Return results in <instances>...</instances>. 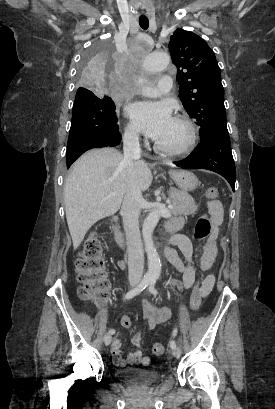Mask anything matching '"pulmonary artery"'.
Listing matches in <instances>:
<instances>
[{"instance_id":"obj_1","label":"pulmonary artery","mask_w":275,"mask_h":409,"mask_svg":"<svg viewBox=\"0 0 275 409\" xmlns=\"http://www.w3.org/2000/svg\"><path fill=\"white\" fill-rule=\"evenodd\" d=\"M158 86L161 88L162 94H174L175 93V86L172 85L171 76L165 75L163 79H159ZM143 96H157L158 95V87L157 86H145L141 88Z\"/></svg>"}]
</instances>
